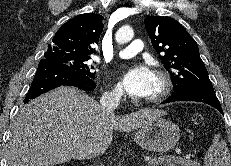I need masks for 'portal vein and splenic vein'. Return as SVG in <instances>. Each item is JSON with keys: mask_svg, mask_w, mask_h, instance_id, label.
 <instances>
[{"mask_svg": "<svg viewBox=\"0 0 231 166\" xmlns=\"http://www.w3.org/2000/svg\"><path fill=\"white\" fill-rule=\"evenodd\" d=\"M173 158L181 164H184L185 161H188L187 159L179 157V156L173 157ZM145 161H147L148 163H151L153 161H157V158L146 157Z\"/></svg>", "mask_w": 231, "mask_h": 166, "instance_id": "1", "label": "portal vein and splenic vein"}]
</instances>
